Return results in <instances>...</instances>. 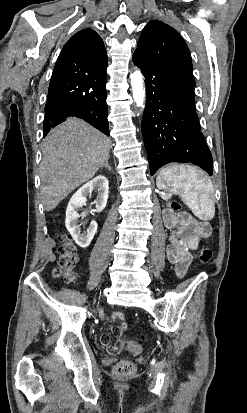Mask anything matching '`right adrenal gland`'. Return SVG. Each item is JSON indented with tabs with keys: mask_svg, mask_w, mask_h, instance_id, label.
<instances>
[{
	"mask_svg": "<svg viewBox=\"0 0 247 413\" xmlns=\"http://www.w3.org/2000/svg\"><path fill=\"white\" fill-rule=\"evenodd\" d=\"M103 166H106V168H108V170H112L111 166H109V164H108V158H106L104 164H101L100 168H103Z\"/></svg>",
	"mask_w": 247,
	"mask_h": 413,
	"instance_id": "obj_1",
	"label": "right adrenal gland"
}]
</instances>
